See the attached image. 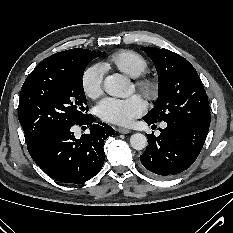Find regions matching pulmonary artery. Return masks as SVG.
<instances>
[{
    "mask_svg": "<svg viewBox=\"0 0 233 233\" xmlns=\"http://www.w3.org/2000/svg\"><path fill=\"white\" fill-rule=\"evenodd\" d=\"M162 127H163V128H165V127H166V124H165V123H163V124H162Z\"/></svg>",
    "mask_w": 233,
    "mask_h": 233,
    "instance_id": "1",
    "label": "pulmonary artery"
}]
</instances>
